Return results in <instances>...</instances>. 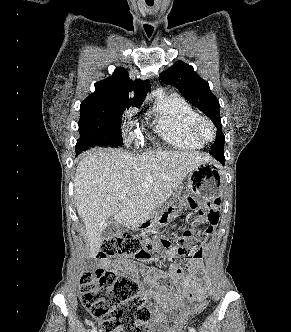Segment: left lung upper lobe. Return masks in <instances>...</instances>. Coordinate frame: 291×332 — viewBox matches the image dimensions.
<instances>
[{"instance_id": "left-lung-upper-lobe-1", "label": "left lung upper lobe", "mask_w": 291, "mask_h": 332, "mask_svg": "<svg viewBox=\"0 0 291 332\" xmlns=\"http://www.w3.org/2000/svg\"><path fill=\"white\" fill-rule=\"evenodd\" d=\"M162 81L176 87L182 96L208 116L217 128V138L210 151H223L225 138L222 132L220 104L211 92L207 81L203 80L192 66L177 61L160 74Z\"/></svg>"}]
</instances>
